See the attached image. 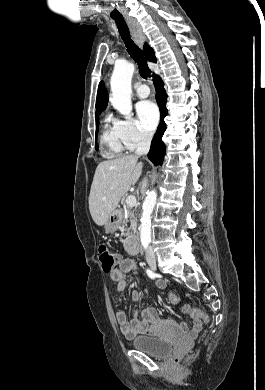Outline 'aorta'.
Masks as SVG:
<instances>
[{
  "label": "aorta",
  "instance_id": "obj_1",
  "mask_svg": "<svg viewBox=\"0 0 265 390\" xmlns=\"http://www.w3.org/2000/svg\"><path fill=\"white\" fill-rule=\"evenodd\" d=\"M135 70L133 63H116L111 76V103L125 118L131 116V80ZM157 193L151 190L143 203L140 219V239L143 246L151 242V214L156 204Z\"/></svg>",
  "mask_w": 265,
  "mask_h": 390
}]
</instances>
